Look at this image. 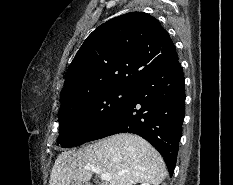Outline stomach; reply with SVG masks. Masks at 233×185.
<instances>
[{
  "label": "stomach",
  "mask_w": 233,
  "mask_h": 185,
  "mask_svg": "<svg viewBox=\"0 0 233 185\" xmlns=\"http://www.w3.org/2000/svg\"><path fill=\"white\" fill-rule=\"evenodd\" d=\"M70 185H86L84 182H72Z\"/></svg>",
  "instance_id": "1"
}]
</instances>
